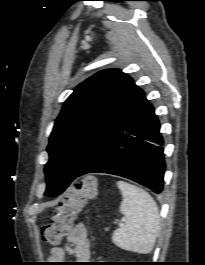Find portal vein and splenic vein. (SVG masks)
<instances>
[{
    "label": "portal vein and splenic vein",
    "instance_id": "obj_1",
    "mask_svg": "<svg viewBox=\"0 0 205 265\" xmlns=\"http://www.w3.org/2000/svg\"><path fill=\"white\" fill-rule=\"evenodd\" d=\"M123 221H124V220H122L121 223H119V224L122 225V222H123Z\"/></svg>",
    "mask_w": 205,
    "mask_h": 265
}]
</instances>
